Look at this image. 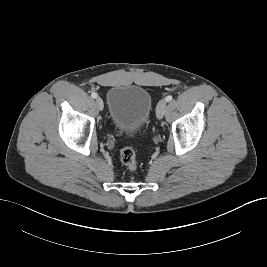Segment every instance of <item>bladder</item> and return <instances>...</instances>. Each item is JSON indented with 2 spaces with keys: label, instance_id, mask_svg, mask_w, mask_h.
<instances>
[{
  "label": "bladder",
  "instance_id": "bladder-1",
  "mask_svg": "<svg viewBox=\"0 0 267 267\" xmlns=\"http://www.w3.org/2000/svg\"><path fill=\"white\" fill-rule=\"evenodd\" d=\"M111 124L120 131L137 133L144 130L152 111V97L143 87L116 85L107 93Z\"/></svg>",
  "mask_w": 267,
  "mask_h": 267
}]
</instances>
